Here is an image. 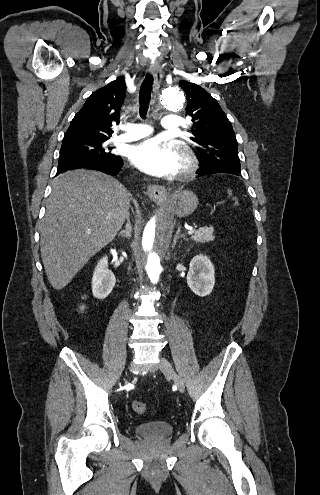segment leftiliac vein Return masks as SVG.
Segmentation results:
<instances>
[{
  "label": "left iliac vein",
  "instance_id": "left-iliac-vein-1",
  "mask_svg": "<svg viewBox=\"0 0 320 495\" xmlns=\"http://www.w3.org/2000/svg\"><path fill=\"white\" fill-rule=\"evenodd\" d=\"M159 369L162 373L169 376L173 380L180 392L183 393L185 391V384L182 378L173 370L167 359L164 357H160Z\"/></svg>",
  "mask_w": 320,
  "mask_h": 495
}]
</instances>
